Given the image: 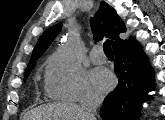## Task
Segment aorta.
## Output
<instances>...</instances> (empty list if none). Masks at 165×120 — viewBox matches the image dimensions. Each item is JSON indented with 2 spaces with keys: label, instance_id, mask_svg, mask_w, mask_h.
<instances>
[{
  "label": "aorta",
  "instance_id": "1",
  "mask_svg": "<svg viewBox=\"0 0 165 120\" xmlns=\"http://www.w3.org/2000/svg\"><path fill=\"white\" fill-rule=\"evenodd\" d=\"M61 59L70 68H76L81 62L82 44L78 33V29H74L61 47Z\"/></svg>",
  "mask_w": 165,
  "mask_h": 120
}]
</instances>
